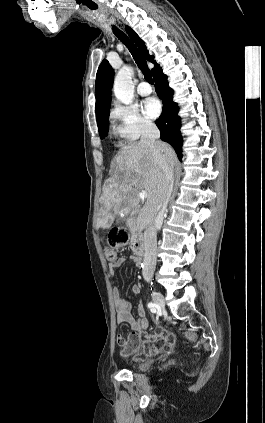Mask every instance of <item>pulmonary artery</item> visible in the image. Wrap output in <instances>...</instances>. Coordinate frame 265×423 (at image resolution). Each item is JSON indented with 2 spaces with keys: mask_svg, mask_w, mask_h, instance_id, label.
I'll use <instances>...</instances> for the list:
<instances>
[{
  "mask_svg": "<svg viewBox=\"0 0 265 423\" xmlns=\"http://www.w3.org/2000/svg\"><path fill=\"white\" fill-rule=\"evenodd\" d=\"M137 92L142 96H147L152 93V87L146 81H141L137 86Z\"/></svg>",
  "mask_w": 265,
  "mask_h": 423,
  "instance_id": "pulmonary-artery-1",
  "label": "pulmonary artery"
}]
</instances>
